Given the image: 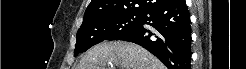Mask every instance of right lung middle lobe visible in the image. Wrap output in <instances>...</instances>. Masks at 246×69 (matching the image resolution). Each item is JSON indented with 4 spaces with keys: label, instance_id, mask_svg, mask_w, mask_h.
Masks as SVG:
<instances>
[{
    "label": "right lung middle lobe",
    "instance_id": "dd1d6c3e",
    "mask_svg": "<svg viewBox=\"0 0 246 69\" xmlns=\"http://www.w3.org/2000/svg\"><path fill=\"white\" fill-rule=\"evenodd\" d=\"M141 20L142 14H121L83 22L77 32L74 56L102 41L118 40L135 29Z\"/></svg>",
    "mask_w": 246,
    "mask_h": 69
}]
</instances>
